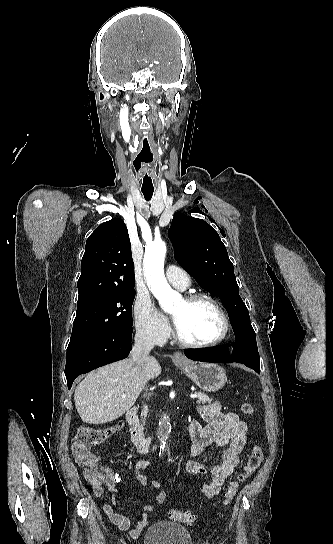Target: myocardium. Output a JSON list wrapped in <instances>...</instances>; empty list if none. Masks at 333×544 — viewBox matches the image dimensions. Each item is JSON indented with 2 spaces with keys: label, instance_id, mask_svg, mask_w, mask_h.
<instances>
[{
  "label": "myocardium",
  "instance_id": "f54148a6",
  "mask_svg": "<svg viewBox=\"0 0 333 544\" xmlns=\"http://www.w3.org/2000/svg\"><path fill=\"white\" fill-rule=\"evenodd\" d=\"M184 301L189 304V305H192V304H195V303H198V302H201V301H207L209 303H211L212 305H214L216 307V309L218 310V312L220 313L221 315V318H222V323H223V326H222V331L220 333V335L211 340V341H208V342H203V343H197V342H192V341H189L187 339H185L176 323L174 325V338L175 340L185 346V347H188V348H195V349H204V348H210V347H214L218 344H220L221 342H223L226 337L228 336L229 334V330H230V319H229V316H228V313L223 305V303L216 297L210 295V294H205V293H196V294H190L188 296H186L184 298Z\"/></svg>",
  "mask_w": 333,
  "mask_h": 544
}]
</instances>
